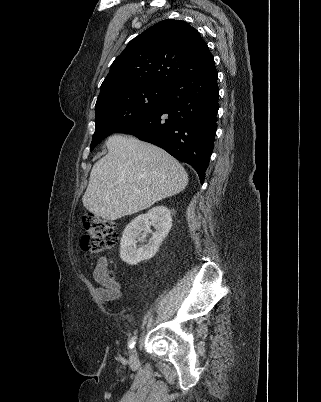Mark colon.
Segmentation results:
<instances>
[{
	"label": "colon",
	"instance_id": "obj_1",
	"mask_svg": "<svg viewBox=\"0 0 321 402\" xmlns=\"http://www.w3.org/2000/svg\"><path fill=\"white\" fill-rule=\"evenodd\" d=\"M83 225L87 234L81 239V249L88 256L97 255L116 245L118 232L114 221L86 214ZM107 274L111 279L114 277L112 272Z\"/></svg>",
	"mask_w": 321,
	"mask_h": 402
}]
</instances>
